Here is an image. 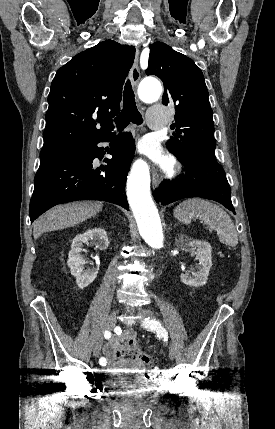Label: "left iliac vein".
<instances>
[{
	"mask_svg": "<svg viewBox=\"0 0 275 429\" xmlns=\"http://www.w3.org/2000/svg\"><path fill=\"white\" fill-rule=\"evenodd\" d=\"M138 313L140 314V316L142 318L145 319V321L146 320H150V319H152L154 317L153 312H151L150 310H147V309H139ZM176 355H177L176 346L172 344L170 346L169 356H170L171 359H174L176 357Z\"/></svg>",
	"mask_w": 275,
	"mask_h": 429,
	"instance_id": "1",
	"label": "left iliac vein"
}]
</instances>
